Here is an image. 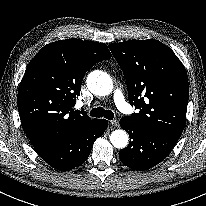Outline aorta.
<instances>
[{"label":"aorta","instance_id":"1","mask_svg":"<svg viewBox=\"0 0 206 206\" xmlns=\"http://www.w3.org/2000/svg\"><path fill=\"white\" fill-rule=\"evenodd\" d=\"M90 91L99 96H106L112 92L113 83L110 76L103 71H93L87 77ZM110 141L115 148L123 149L128 145V134L122 130H115L110 135Z\"/></svg>","mask_w":206,"mask_h":206}]
</instances>
